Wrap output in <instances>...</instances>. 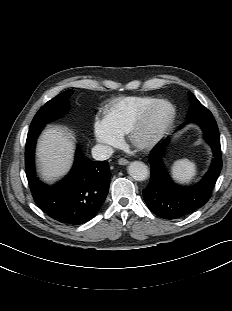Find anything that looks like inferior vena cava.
Here are the masks:
<instances>
[{
  "mask_svg": "<svg viewBox=\"0 0 232 311\" xmlns=\"http://www.w3.org/2000/svg\"><path fill=\"white\" fill-rule=\"evenodd\" d=\"M114 150L112 147L103 144H97L92 148V156L96 160H107L109 159Z\"/></svg>",
  "mask_w": 232,
  "mask_h": 311,
  "instance_id": "obj_1",
  "label": "inferior vena cava"
}]
</instances>
